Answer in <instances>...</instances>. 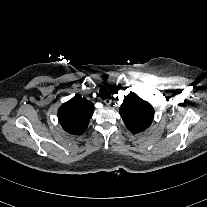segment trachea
Segmentation results:
<instances>
[{"instance_id": "1", "label": "trachea", "mask_w": 207, "mask_h": 207, "mask_svg": "<svg viewBox=\"0 0 207 207\" xmlns=\"http://www.w3.org/2000/svg\"><path fill=\"white\" fill-rule=\"evenodd\" d=\"M99 96L101 99H106V98H109L111 94L106 88L101 87L99 90Z\"/></svg>"}]
</instances>
